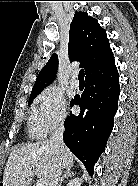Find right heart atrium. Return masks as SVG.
<instances>
[{
    "instance_id": "right-heart-atrium-1",
    "label": "right heart atrium",
    "mask_w": 138,
    "mask_h": 186,
    "mask_svg": "<svg viewBox=\"0 0 138 186\" xmlns=\"http://www.w3.org/2000/svg\"><path fill=\"white\" fill-rule=\"evenodd\" d=\"M35 110L44 134L62 127L67 118L64 95L55 86H48L38 95Z\"/></svg>"
}]
</instances>
